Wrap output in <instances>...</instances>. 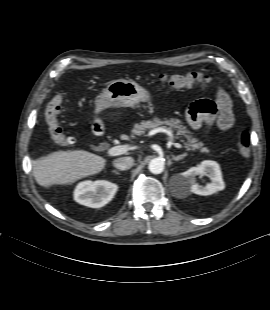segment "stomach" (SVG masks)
<instances>
[{
    "mask_svg": "<svg viewBox=\"0 0 270 310\" xmlns=\"http://www.w3.org/2000/svg\"><path fill=\"white\" fill-rule=\"evenodd\" d=\"M149 92L133 80L118 79L112 81L96 100L95 112L108 107H130L139 102L148 101ZM100 121L95 120L98 125Z\"/></svg>",
    "mask_w": 270,
    "mask_h": 310,
    "instance_id": "obj_1",
    "label": "stomach"
}]
</instances>
